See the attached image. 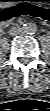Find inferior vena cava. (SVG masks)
<instances>
[{
    "label": "inferior vena cava",
    "instance_id": "1",
    "mask_svg": "<svg viewBox=\"0 0 50 111\" xmlns=\"http://www.w3.org/2000/svg\"><path fill=\"white\" fill-rule=\"evenodd\" d=\"M22 33V28H20L19 26L17 27H11V29L9 30V34L11 36H16Z\"/></svg>",
    "mask_w": 50,
    "mask_h": 111
}]
</instances>
